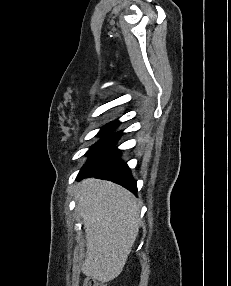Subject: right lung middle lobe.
I'll list each match as a JSON object with an SVG mask.
<instances>
[{
  "mask_svg": "<svg viewBox=\"0 0 231 286\" xmlns=\"http://www.w3.org/2000/svg\"><path fill=\"white\" fill-rule=\"evenodd\" d=\"M119 125V122L118 121H115V122H112L110 124H107L106 126H104L98 135H104V137L98 141L92 148L89 152H91L94 148H96L99 144H101L104 140H106L108 137H110L113 133H112V130L114 128H116L117 126Z\"/></svg>",
  "mask_w": 231,
  "mask_h": 286,
  "instance_id": "dd1d6c3e",
  "label": "right lung middle lobe"
}]
</instances>
